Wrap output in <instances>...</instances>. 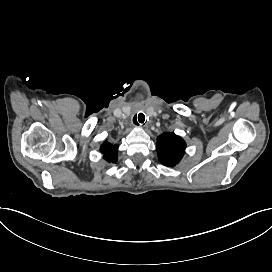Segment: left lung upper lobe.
<instances>
[{
	"label": "left lung upper lobe",
	"instance_id": "left-lung-upper-lobe-1",
	"mask_svg": "<svg viewBox=\"0 0 272 272\" xmlns=\"http://www.w3.org/2000/svg\"><path fill=\"white\" fill-rule=\"evenodd\" d=\"M185 148V141L172 132H165L157 138L158 159L165 166H176L181 161Z\"/></svg>",
	"mask_w": 272,
	"mask_h": 272
}]
</instances>
